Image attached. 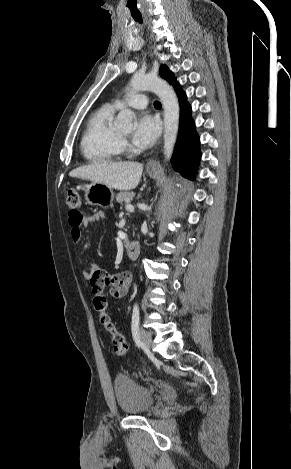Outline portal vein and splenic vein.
<instances>
[{"label":"portal vein and splenic vein","mask_w":291,"mask_h":469,"mask_svg":"<svg viewBox=\"0 0 291 469\" xmlns=\"http://www.w3.org/2000/svg\"><path fill=\"white\" fill-rule=\"evenodd\" d=\"M126 210H128V211H134L133 205L127 204V205H126Z\"/></svg>","instance_id":"portal-vein-and-splenic-vein-1"}]
</instances>
